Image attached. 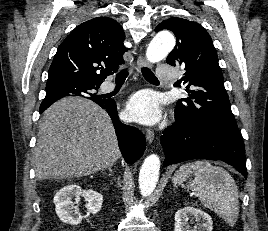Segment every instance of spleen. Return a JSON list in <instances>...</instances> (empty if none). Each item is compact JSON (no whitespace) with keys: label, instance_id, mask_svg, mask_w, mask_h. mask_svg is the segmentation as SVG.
<instances>
[{"label":"spleen","instance_id":"spleen-1","mask_svg":"<svg viewBox=\"0 0 268 231\" xmlns=\"http://www.w3.org/2000/svg\"><path fill=\"white\" fill-rule=\"evenodd\" d=\"M194 179H191V176ZM189 179L188 188L195 192L201 203L233 226L239 214L238 188L232 176L222 167L208 161L182 165L174 174V186Z\"/></svg>","mask_w":268,"mask_h":231}]
</instances>
